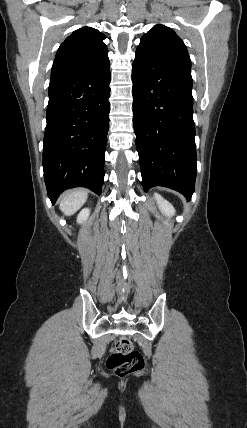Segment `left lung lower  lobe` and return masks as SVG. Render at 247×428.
Here are the masks:
<instances>
[{
    "label": "left lung lower lobe",
    "instance_id": "left-lung-lower-lobe-1",
    "mask_svg": "<svg viewBox=\"0 0 247 428\" xmlns=\"http://www.w3.org/2000/svg\"><path fill=\"white\" fill-rule=\"evenodd\" d=\"M132 82L144 190L165 186L190 200L197 160L191 71L136 50Z\"/></svg>",
    "mask_w": 247,
    "mask_h": 428
}]
</instances>
